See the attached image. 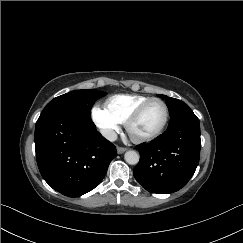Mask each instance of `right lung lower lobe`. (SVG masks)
Returning a JSON list of instances; mask_svg holds the SVG:
<instances>
[{
	"label": "right lung lower lobe",
	"instance_id": "98d812e1",
	"mask_svg": "<svg viewBox=\"0 0 243 243\" xmlns=\"http://www.w3.org/2000/svg\"><path fill=\"white\" fill-rule=\"evenodd\" d=\"M35 150L44 180L68 197L93 190L116 155L91 119L65 113L37 120Z\"/></svg>",
	"mask_w": 243,
	"mask_h": 243
}]
</instances>
